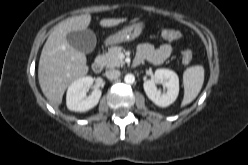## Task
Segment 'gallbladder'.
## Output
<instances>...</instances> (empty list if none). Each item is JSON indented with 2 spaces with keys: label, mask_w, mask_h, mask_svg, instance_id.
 Here are the masks:
<instances>
[{
  "label": "gallbladder",
  "mask_w": 248,
  "mask_h": 165,
  "mask_svg": "<svg viewBox=\"0 0 248 165\" xmlns=\"http://www.w3.org/2000/svg\"><path fill=\"white\" fill-rule=\"evenodd\" d=\"M66 38L73 48L86 54L91 53L96 46V35L90 29L71 31Z\"/></svg>",
  "instance_id": "obj_1"
}]
</instances>
